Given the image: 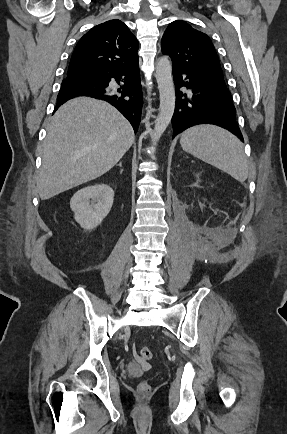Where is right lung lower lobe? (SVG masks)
I'll return each mask as SVG.
<instances>
[{"instance_id":"1","label":"right lung lower lobe","mask_w":287,"mask_h":434,"mask_svg":"<svg viewBox=\"0 0 287 434\" xmlns=\"http://www.w3.org/2000/svg\"><path fill=\"white\" fill-rule=\"evenodd\" d=\"M110 81L121 84L120 88L111 87ZM77 96H90L109 102L129 120L134 131H137L143 102L138 64L125 69L103 70L63 80L55 111L67 100Z\"/></svg>"}]
</instances>
